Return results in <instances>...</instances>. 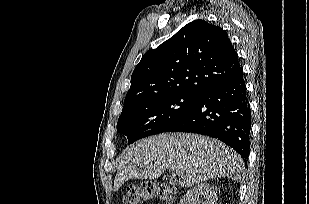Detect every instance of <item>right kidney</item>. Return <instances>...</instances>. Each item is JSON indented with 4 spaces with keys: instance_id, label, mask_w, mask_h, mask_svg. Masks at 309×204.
I'll return each mask as SVG.
<instances>
[{
    "instance_id": "obj_1",
    "label": "right kidney",
    "mask_w": 309,
    "mask_h": 204,
    "mask_svg": "<svg viewBox=\"0 0 309 204\" xmlns=\"http://www.w3.org/2000/svg\"><path fill=\"white\" fill-rule=\"evenodd\" d=\"M200 196L203 200L200 201ZM217 188L208 183H201L190 189L181 199L179 204H216Z\"/></svg>"
}]
</instances>
